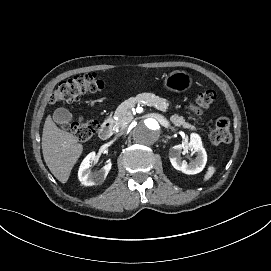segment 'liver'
I'll return each instance as SVG.
<instances>
[{"instance_id":"6515ba94","label":"liver","mask_w":271,"mask_h":271,"mask_svg":"<svg viewBox=\"0 0 271 271\" xmlns=\"http://www.w3.org/2000/svg\"><path fill=\"white\" fill-rule=\"evenodd\" d=\"M41 146L49 170L61 183H65L82 151L81 145L72 134L57 128L48 116L43 125Z\"/></svg>"}]
</instances>
